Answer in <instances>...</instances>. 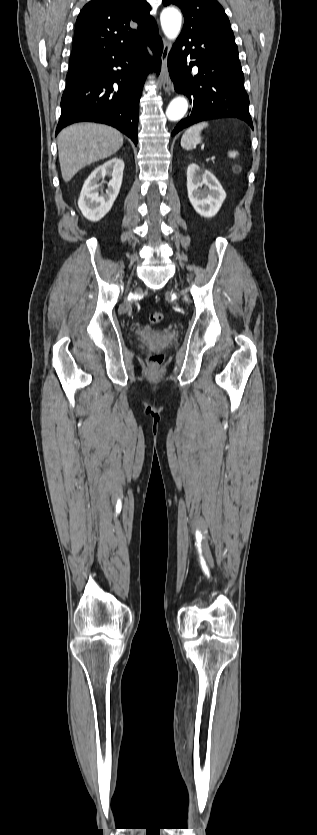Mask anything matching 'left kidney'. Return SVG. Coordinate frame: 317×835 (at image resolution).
<instances>
[{
    "label": "left kidney",
    "mask_w": 317,
    "mask_h": 835,
    "mask_svg": "<svg viewBox=\"0 0 317 835\" xmlns=\"http://www.w3.org/2000/svg\"><path fill=\"white\" fill-rule=\"evenodd\" d=\"M187 191L194 210L205 218L215 216L226 198L217 178L195 163L187 168Z\"/></svg>",
    "instance_id": "left-kidney-1"
}]
</instances>
